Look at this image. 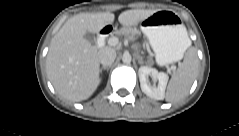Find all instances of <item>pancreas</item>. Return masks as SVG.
Segmentation results:
<instances>
[{
  "label": "pancreas",
  "instance_id": "1",
  "mask_svg": "<svg viewBox=\"0 0 239 136\" xmlns=\"http://www.w3.org/2000/svg\"><path fill=\"white\" fill-rule=\"evenodd\" d=\"M137 33H138V31L135 29H132V28H122L120 31L116 32V34L123 35L130 39H133Z\"/></svg>",
  "mask_w": 239,
  "mask_h": 136
}]
</instances>
